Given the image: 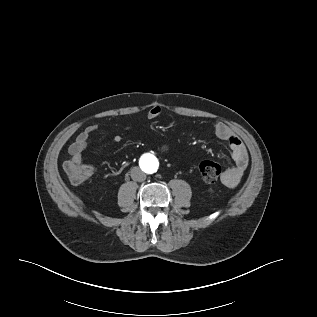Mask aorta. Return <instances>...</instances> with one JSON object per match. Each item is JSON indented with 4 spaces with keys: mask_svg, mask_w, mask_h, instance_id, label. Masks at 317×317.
<instances>
[{
    "mask_svg": "<svg viewBox=\"0 0 317 317\" xmlns=\"http://www.w3.org/2000/svg\"><path fill=\"white\" fill-rule=\"evenodd\" d=\"M142 162L146 166L149 173H154L157 170V159L154 155L149 156V159L142 158Z\"/></svg>",
    "mask_w": 317,
    "mask_h": 317,
    "instance_id": "1",
    "label": "aorta"
}]
</instances>
